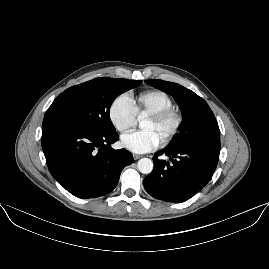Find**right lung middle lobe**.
Returning <instances> with one entry per match:
<instances>
[{"instance_id":"1","label":"right lung middle lobe","mask_w":269,"mask_h":269,"mask_svg":"<svg viewBox=\"0 0 269 269\" xmlns=\"http://www.w3.org/2000/svg\"><path fill=\"white\" fill-rule=\"evenodd\" d=\"M141 82L96 78L66 89L53 101L47 112L66 115L100 133H115L109 116L112 102L118 95Z\"/></svg>"}]
</instances>
